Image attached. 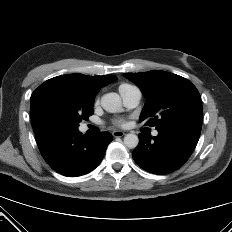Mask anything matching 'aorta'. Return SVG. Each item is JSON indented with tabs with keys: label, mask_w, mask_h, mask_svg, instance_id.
I'll return each instance as SVG.
<instances>
[{
	"label": "aorta",
	"mask_w": 232,
	"mask_h": 232,
	"mask_svg": "<svg viewBox=\"0 0 232 232\" xmlns=\"http://www.w3.org/2000/svg\"><path fill=\"white\" fill-rule=\"evenodd\" d=\"M101 106L104 110L110 113L121 111V98L117 93H107L101 98ZM139 143L138 136L129 133L124 137V145L128 148H136Z\"/></svg>",
	"instance_id": "762f6f07"
}]
</instances>
